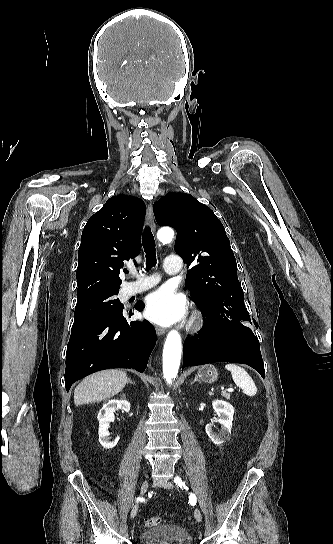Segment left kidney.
I'll list each match as a JSON object with an SVG mask.
<instances>
[{"label":"left kidney","instance_id":"5707ae66","mask_svg":"<svg viewBox=\"0 0 333 544\" xmlns=\"http://www.w3.org/2000/svg\"><path fill=\"white\" fill-rule=\"evenodd\" d=\"M212 406L218 416L216 422L221 425V430L218 433L214 432L212 424H207L205 430L212 442L220 445L231 438L234 407L222 400L213 401Z\"/></svg>","mask_w":333,"mask_h":544}]
</instances>
